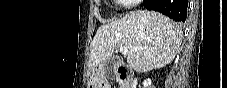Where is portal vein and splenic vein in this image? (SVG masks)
I'll return each instance as SVG.
<instances>
[{
  "instance_id": "portal-vein-and-splenic-vein-1",
  "label": "portal vein and splenic vein",
  "mask_w": 227,
  "mask_h": 88,
  "mask_svg": "<svg viewBox=\"0 0 227 88\" xmlns=\"http://www.w3.org/2000/svg\"><path fill=\"white\" fill-rule=\"evenodd\" d=\"M119 52L124 54V55H128L129 54V50L126 47H119Z\"/></svg>"
}]
</instances>
